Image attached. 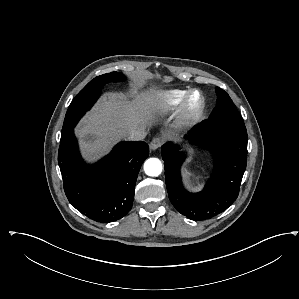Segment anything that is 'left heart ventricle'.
Wrapping results in <instances>:
<instances>
[{"instance_id": "1", "label": "left heart ventricle", "mask_w": 299, "mask_h": 299, "mask_svg": "<svg viewBox=\"0 0 299 299\" xmlns=\"http://www.w3.org/2000/svg\"><path fill=\"white\" fill-rule=\"evenodd\" d=\"M196 100H197V98H196V97H193L192 102L195 103Z\"/></svg>"}]
</instances>
